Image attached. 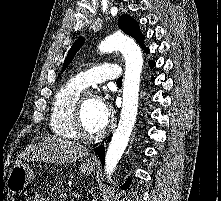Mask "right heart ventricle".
<instances>
[{"instance_id":"e07e8e85","label":"right heart ventricle","mask_w":221,"mask_h":201,"mask_svg":"<svg viewBox=\"0 0 221 201\" xmlns=\"http://www.w3.org/2000/svg\"><path fill=\"white\" fill-rule=\"evenodd\" d=\"M82 88L74 81H70L57 91L53 99L50 128L55 135L61 138L74 139L77 137L73 128V117Z\"/></svg>"}]
</instances>
